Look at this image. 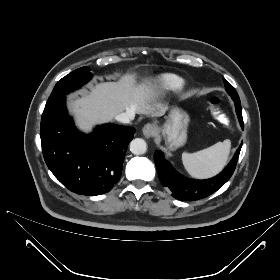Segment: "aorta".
I'll return each mask as SVG.
<instances>
[{
	"label": "aorta",
	"instance_id": "1",
	"mask_svg": "<svg viewBox=\"0 0 280 280\" xmlns=\"http://www.w3.org/2000/svg\"><path fill=\"white\" fill-rule=\"evenodd\" d=\"M147 150L146 141L142 138L133 139L130 143V151L134 155H142Z\"/></svg>",
	"mask_w": 280,
	"mask_h": 280
}]
</instances>
